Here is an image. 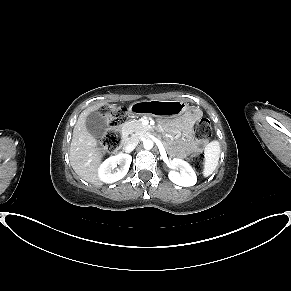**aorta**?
Listing matches in <instances>:
<instances>
[{
    "label": "aorta",
    "instance_id": "762f6f07",
    "mask_svg": "<svg viewBox=\"0 0 291 291\" xmlns=\"http://www.w3.org/2000/svg\"><path fill=\"white\" fill-rule=\"evenodd\" d=\"M153 145H154V143H153V141L150 140V139H146V140H144V142H143V146H144V148H145L146 150H150V149H152V148H153Z\"/></svg>",
    "mask_w": 291,
    "mask_h": 291
}]
</instances>
